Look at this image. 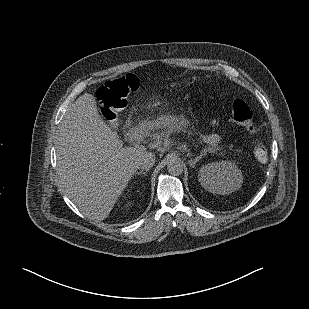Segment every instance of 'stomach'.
<instances>
[{"instance_id":"stomach-1","label":"stomach","mask_w":309,"mask_h":309,"mask_svg":"<svg viewBox=\"0 0 309 309\" xmlns=\"http://www.w3.org/2000/svg\"><path fill=\"white\" fill-rule=\"evenodd\" d=\"M150 123L155 127L181 128L184 127L186 119L183 115H168L151 120Z\"/></svg>"}]
</instances>
